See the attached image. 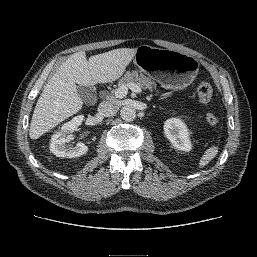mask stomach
Segmentation results:
<instances>
[{"instance_id":"obj_1","label":"stomach","mask_w":257,"mask_h":257,"mask_svg":"<svg viewBox=\"0 0 257 257\" xmlns=\"http://www.w3.org/2000/svg\"><path fill=\"white\" fill-rule=\"evenodd\" d=\"M138 69L166 88L181 90L189 86L199 71L198 60L175 50L141 45L133 58Z\"/></svg>"}]
</instances>
